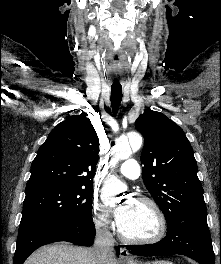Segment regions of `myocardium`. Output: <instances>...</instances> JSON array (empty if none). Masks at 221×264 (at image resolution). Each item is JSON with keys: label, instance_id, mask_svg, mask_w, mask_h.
I'll use <instances>...</instances> for the list:
<instances>
[{"label": "myocardium", "instance_id": "1", "mask_svg": "<svg viewBox=\"0 0 221 264\" xmlns=\"http://www.w3.org/2000/svg\"><path fill=\"white\" fill-rule=\"evenodd\" d=\"M135 201L144 203L153 210V212L155 213L157 217L158 230L155 235L149 238H132V237L127 236L122 231L121 227L119 226L118 232H119L120 238L124 242L130 243V244H137V245H151V244L158 243L165 237L166 232H167V219H166V216L163 210L161 209V207L158 205V203L155 200H153L152 198L146 197V196H139L135 199Z\"/></svg>", "mask_w": 221, "mask_h": 264}]
</instances>
